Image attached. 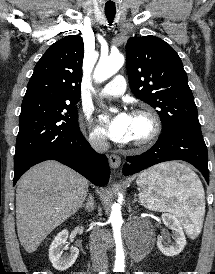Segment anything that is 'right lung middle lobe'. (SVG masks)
Instances as JSON below:
<instances>
[{
	"label": "right lung middle lobe",
	"mask_w": 215,
	"mask_h": 274,
	"mask_svg": "<svg viewBox=\"0 0 215 274\" xmlns=\"http://www.w3.org/2000/svg\"><path fill=\"white\" fill-rule=\"evenodd\" d=\"M76 102L37 100L22 104L14 165L57 139L78 133Z\"/></svg>",
	"instance_id": "dd1d6c3e"
}]
</instances>
